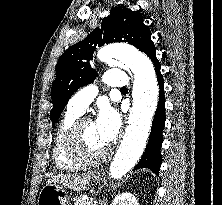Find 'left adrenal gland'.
Listing matches in <instances>:
<instances>
[{
	"mask_svg": "<svg viewBox=\"0 0 222 205\" xmlns=\"http://www.w3.org/2000/svg\"><path fill=\"white\" fill-rule=\"evenodd\" d=\"M106 204H107L106 200L99 201V205H106Z\"/></svg>",
	"mask_w": 222,
	"mask_h": 205,
	"instance_id": "left-adrenal-gland-1",
	"label": "left adrenal gland"
}]
</instances>
